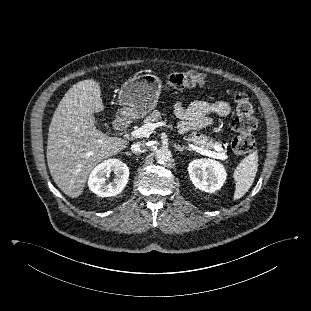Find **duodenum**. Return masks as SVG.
<instances>
[{
    "mask_svg": "<svg viewBox=\"0 0 311 311\" xmlns=\"http://www.w3.org/2000/svg\"><path fill=\"white\" fill-rule=\"evenodd\" d=\"M129 125L128 118L125 116H118L114 122V126L117 129L126 128Z\"/></svg>",
    "mask_w": 311,
    "mask_h": 311,
    "instance_id": "duodenum-1",
    "label": "duodenum"
}]
</instances>
